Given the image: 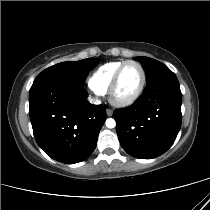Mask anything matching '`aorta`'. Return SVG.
<instances>
[{"instance_id": "762f6f07", "label": "aorta", "mask_w": 210, "mask_h": 210, "mask_svg": "<svg viewBox=\"0 0 210 210\" xmlns=\"http://www.w3.org/2000/svg\"><path fill=\"white\" fill-rule=\"evenodd\" d=\"M105 123L108 128H114L116 126V122L112 118H108Z\"/></svg>"}]
</instances>
